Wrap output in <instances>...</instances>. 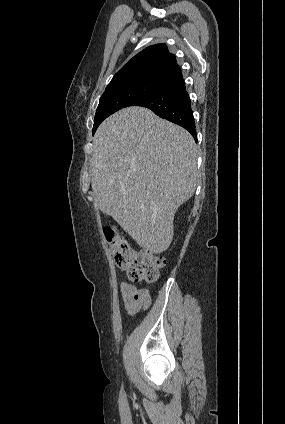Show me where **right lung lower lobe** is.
<instances>
[{
	"mask_svg": "<svg viewBox=\"0 0 285 424\" xmlns=\"http://www.w3.org/2000/svg\"><path fill=\"white\" fill-rule=\"evenodd\" d=\"M129 106L152 110L159 117L185 128L197 142L191 101L182 76L165 83L155 92L135 100Z\"/></svg>",
	"mask_w": 285,
	"mask_h": 424,
	"instance_id": "right-lung-lower-lobe-1",
	"label": "right lung lower lobe"
}]
</instances>
